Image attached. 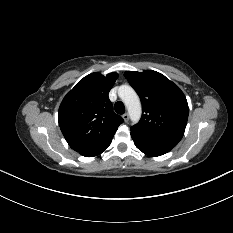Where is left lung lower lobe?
<instances>
[{"mask_svg": "<svg viewBox=\"0 0 233 233\" xmlns=\"http://www.w3.org/2000/svg\"><path fill=\"white\" fill-rule=\"evenodd\" d=\"M131 130V129H130ZM131 136L136 147L149 156H160L169 152L178 142L157 136L142 135L131 130Z\"/></svg>", "mask_w": 233, "mask_h": 233, "instance_id": "obj_1", "label": "left lung lower lobe"}]
</instances>
